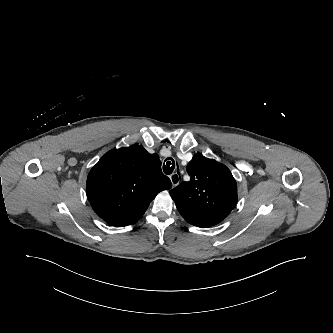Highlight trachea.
Returning a JSON list of instances; mask_svg holds the SVG:
<instances>
[{
    "instance_id": "1",
    "label": "trachea",
    "mask_w": 333,
    "mask_h": 333,
    "mask_svg": "<svg viewBox=\"0 0 333 333\" xmlns=\"http://www.w3.org/2000/svg\"><path fill=\"white\" fill-rule=\"evenodd\" d=\"M164 162H166V163L163 164V171L165 174L170 175L173 172V170L176 168L175 161L173 158L169 157V158L165 159ZM177 168H178V165H177Z\"/></svg>"
}]
</instances>
